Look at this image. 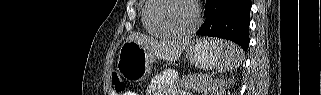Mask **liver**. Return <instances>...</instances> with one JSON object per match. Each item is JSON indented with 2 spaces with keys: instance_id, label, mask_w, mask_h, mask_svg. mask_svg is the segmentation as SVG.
Returning a JSON list of instances; mask_svg holds the SVG:
<instances>
[{
  "instance_id": "6515ba94",
  "label": "liver",
  "mask_w": 321,
  "mask_h": 95,
  "mask_svg": "<svg viewBox=\"0 0 321 95\" xmlns=\"http://www.w3.org/2000/svg\"><path fill=\"white\" fill-rule=\"evenodd\" d=\"M126 41L136 42L154 56L171 62L180 58L182 52L189 43V39L157 41L138 33H132L127 37Z\"/></svg>"
}]
</instances>
